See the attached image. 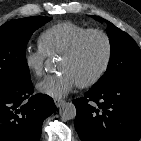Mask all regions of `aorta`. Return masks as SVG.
<instances>
[{"label":"aorta","instance_id":"762f6f07","mask_svg":"<svg viewBox=\"0 0 141 141\" xmlns=\"http://www.w3.org/2000/svg\"><path fill=\"white\" fill-rule=\"evenodd\" d=\"M59 114L63 120H72L76 117V107L73 103L65 102L61 105Z\"/></svg>","mask_w":141,"mask_h":141}]
</instances>
